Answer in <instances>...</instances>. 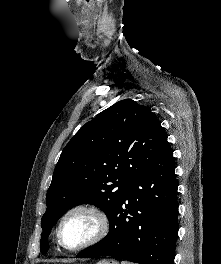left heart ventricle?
Masks as SVG:
<instances>
[{
    "label": "left heart ventricle",
    "instance_id": "1",
    "mask_svg": "<svg viewBox=\"0 0 221 264\" xmlns=\"http://www.w3.org/2000/svg\"><path fill=\"white\" fill-rule=\"evenodd\" d=\"M97 231L96 219L84 212L71 215L62 228V238L69 247L81 245L91 239Z\"/></svg>",
    "mask_w": 221,
    "mask_h": 264
}]
</instances>
